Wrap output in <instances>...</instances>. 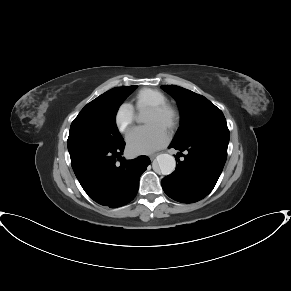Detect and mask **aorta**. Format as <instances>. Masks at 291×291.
Here are the masks:
<instances>
[{"instance_id":"1","label":"aorta","mask_w":291,"mask_h":291,"mask_svg":"<svg viewBox=\"0 0 291 291\" xmlns=\"http://www.w3.org/2000/svg\"><path fill=\"white\" fill-rule=\"evenodd\" d=\"M144 115L139 113L136 117L138 123H142ZM157 166L163 175H169L175 170L176 161L175 158L170 154H160L156 158Z\"/></svg>"}]
</instances>
